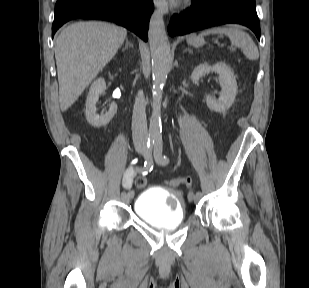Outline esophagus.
Returning a JSON list of instances; mask_svg holds the SVG:
<instances>
[{"label":"esophagus","instance_id":"34e87169","mask_svg":"<svg viewBox=\"0 0 309 288\" xmlns=\"http://www.w3.org/2000/svg\"><path fill=\"white\" fill-rule=\"evenodd\" d=\"M154 2V5L161 9L165 14L168 13V7H167V4L164 0H153Z\"/></svg>","mask_w":309,"mask_h":288}]
</instances>
